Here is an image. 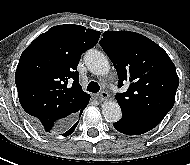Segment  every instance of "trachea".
I'll return each mask as SVG.
<instances>
[{
	"instance_id": "3493384b",
	"label": "trachea",
	"mask_w": 190,
	"mask_h": 165,
	"mask_svg": "<svg viewBox=\"0 0 190 165\" xmlns=\"http://www.w3.org/2000/svg\"><path fill=\"white\" fill-rule=\"evenodd\" d=\"M100 90V86L97 82L91 81L87 86V91L97 93Z\"/></svg>"
}]
</instances>
